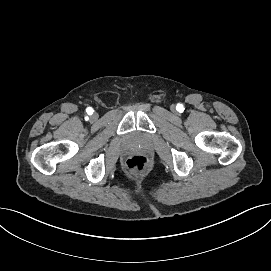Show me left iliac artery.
I'll use <instances>...</instances> for the list:
<instances>
[{
    "instance_id": "44dca946",
    "label": "left iliac artery",
    "mask_w": 271,
    "mask_h": 271,
    "mask_svg": "<svg viewBox=\"0 0 271 271\" xmlns=\"http://www.w3.org/2000/svg\"><path fill=\"white\" fill-rule=\"evenodd\" d=\"M178 111L183 110V105L180 106V108H177Z\"/></svg>"
}]
</instances>
